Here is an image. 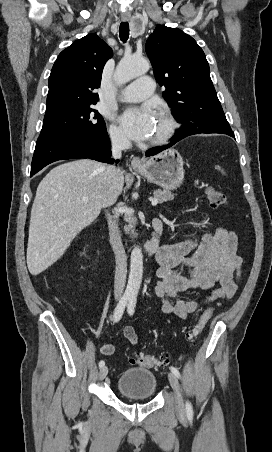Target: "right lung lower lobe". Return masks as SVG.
<instances>
[{
    "label": "right lung lower lobe",
    "mask_w": 272,
    "mask_h": 452,
    "mask_svg": "<svg viewBox=\"0 0 272 452\" xmlns=\"http://www.w3.org/2000/svg\"><path fill=\"white\" fill-rule=\"evenodd\" d=\"M79 158L114 163V159L111 158V145L107 132L100 135L39 136L32 159L30 176L52 162Z\"/></svg>",
    "instance_id": "obj_1"
}]
</instances>
